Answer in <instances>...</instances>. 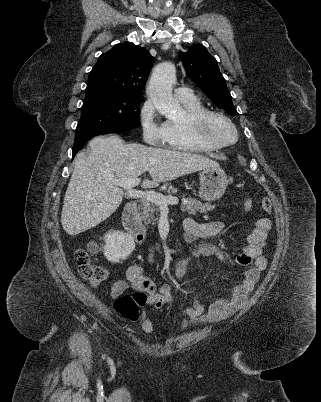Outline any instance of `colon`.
I'll list each match as a JSON object with an SVG mask.
<instances>
[{
  "label": "colon",
  "instance_id": "1",
  "mask_svg": "<svg viewBox=\"0 0 321 402\" xmlns=\"http://www.w3.org/2000/svg\"><path fill=\"white\" fill-rule=\"evenodd\" d=\"M261 207L265 213H271L272 202L269 198L261 200ZM96 250V245L92 244L89 249H78L75 252V262L81 276L92 285L97 286L106 278L107 272L102 266L96 265L91 261L90 253ZM148 296L144 291H136L120 296L114 303V310L124 319L137 321L139 319V309L147 303Z\"/></svg>",
  "mask_w": 321,
  "mask_h": 402
}]
</instances>
